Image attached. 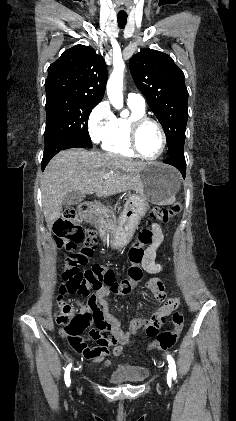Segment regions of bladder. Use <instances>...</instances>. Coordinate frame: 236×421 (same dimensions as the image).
Segmentation results:
<instances>
[{
    "label": "bladder",
    "mask_w": 236,
    "mask_h": 421,
    "mask_svg": "<svg viewBox=\"0 0 236 421\" xmlns=\"http://www.w3.org/2000/svg\"><path fill=\"white\" fill-rule=\"evenodd\" d=\"M145 380V375L137 367L131 364L120 363L109 378V383L126 384Z\"/></svg>",
    "instance_id": "1"
}]
</instances>
